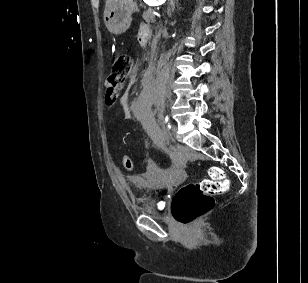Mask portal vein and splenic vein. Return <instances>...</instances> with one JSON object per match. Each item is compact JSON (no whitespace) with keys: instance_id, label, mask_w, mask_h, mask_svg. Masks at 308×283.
Here are the masks:
<instances>
[{"instance_id":"obj_1","label":"portal vein and splenic vein","mask_w":308,"mask_h":283,"mask_svg":"<svg viewBox=\"0 0 308 283\" xmlns=\"http://www.w3.org/2000/svg\"><path fill=\"white\" fill-rule=\"evenodd\" d=\"M152 13H153L154 15H157V13H156V12H154V11H153Z\"/></svg>"}]
</instances>
